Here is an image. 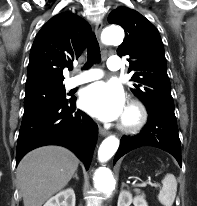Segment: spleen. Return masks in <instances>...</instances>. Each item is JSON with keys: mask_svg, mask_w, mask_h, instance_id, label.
I'll return each instance as SVG.
<instances>
[{"mask_svg": "<svg viewBox=\"0 0 197 206\" xmlns=\"http://www.w3.org/2000/svg\"><path fill=\"white\" fill-rule=\"evenodd\" d=\"M162 184L163 186L158 194V200L164 206H172L177 192L175 176L168 173L162 180Z\"/></svg>", "mask_w": 197, "mask_h": 206, "instance_id": "spleen-1", "label": "spleen"}]
</instances>
